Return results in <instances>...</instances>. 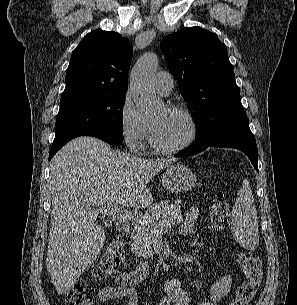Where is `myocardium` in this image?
<instances>
[{
    "label": "myocardium",
    "mask_w": 297,
    "mask_h": 305,
    "mask_svg": "<svg viewBox=\"0 0 297 305\" xmlns=\"http://www.w3.org/2000/svg\"><path fill=\"white\" fill-rule=\"evenodd\" d=\"M166 109L169 112L182 115L186 118L190 125V135L183 143L174 147H163L156 142L152 125L149 124V143L152 149L159 154L171 155L187 149L194 143L198 135V125L194 115L189 110L175 105L168 106Z\"/></svg>",
    "instance_id": "myocardium-1"
}]
</instances>
